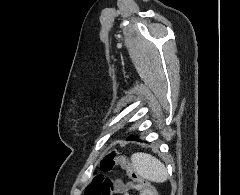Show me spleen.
Masks as SVG:
<instances>
[{"instance_id": "spleen-1", "label": "spleen", "mask_w": 240, "mask_h": 195, "mask_svg": "<svg viewBox=\"0 0 240 195\" xmlns=\"http://www.w3.org/2000/svg\"><path fill=\"white\" fill-rule=\"evenodd\" d=\"M132 165L136 169L138 175L144 177V179H149V181H156V183H163L168 179L167 169L157 157L150 155V153H142V151H137L133 153Z\"/></svg>"}]
</instances>
